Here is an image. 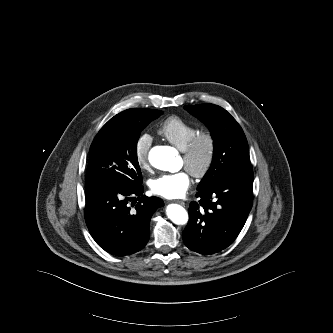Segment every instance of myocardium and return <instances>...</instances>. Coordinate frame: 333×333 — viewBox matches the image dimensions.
I'll return each instance as SVG.
<instances>
[{
	"mask_svg": "<svg viewBox=\"0 0 333 333\" xmlns=\"http://www.w3.org/2000/svg\"><path fill=\"white\" fill-rule=\"evenodd\" d=\"M216 152V141L211 132H198L183 150V160L186 168L195 178L205 177L214 162ZM202 159L197 163V157Z\"/></svg>",
	"mask_w": 333,
	"mask_h": 333,
	"instance_id": "1",
	"label": "myocardium"
}]
</instances>
